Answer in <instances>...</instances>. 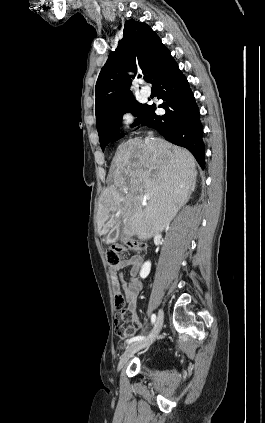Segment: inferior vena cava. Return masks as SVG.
Instances as JSON below:
<instances>
[{
	"instance_id": "1",
	"label": "inferior vena cava",
	"mask_w": 265,
	"mask_h": 423,
	"mask_svg": "<svg viewBox=\"0 0 265 423\" xmlns=\"http://www.w3.org/2000/svg\"><path fill=\"white\" fill-rule=\"evenodd\" d=\"M152 134H153L152 132H149V133H148V135H149V136L145 139V142H146V143H149V142H151V141H152V140H151Z\"/></svg>"
}]
</instances>
